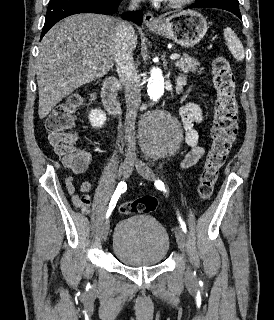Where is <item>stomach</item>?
Returning <instances> with one entry per match:
<instances>
[{
	"label": "stomach",
	"mask_w": 274,
	"mask_h": 320,
	"mask_svg": "<svg viewBox=\"0 0 274 320\" xmlns=\"http://www.w3.org/2000/svg\"><path fill=\"white\" fill-rule=\"evenodd\" d=\"M160 20L162 26H152L149 30L159 36L174 40L176 44L185 46V48H193L207 34L206 18L193 10L172 14L168 18H160Z\"/></svg>",
	"instance_id": "obj_1"
}]
</instances>
